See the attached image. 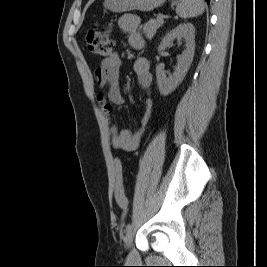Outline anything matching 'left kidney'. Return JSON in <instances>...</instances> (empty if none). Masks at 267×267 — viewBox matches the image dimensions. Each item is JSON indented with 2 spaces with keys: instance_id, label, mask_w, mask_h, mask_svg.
Returning <instances> with one entry per match:
<instances>
[{
  "instance_id": "5707ae66",
  "label": "left kidney",
  "mask_w": 267,
  "mask_h": 267,
  "mask_svg": "<svg viewBox=\"0 0 267 267\" xmlns=\"http://www.w3.org/2000/svg\"><path fill=\"white\" fill-rule=\"evenodd\" d=\"M176 38H183L186 43V48L184 52L178 56V63L174 72L172 74L169 73L167 77L164 67L162 65L156 66L158 88L160 94L163 96L169 95L177 88L190 68L195 50V28L193 24L184 23L172 29L163 37L158 51L167 48Z\"/></svg>"
}]
</instances>
